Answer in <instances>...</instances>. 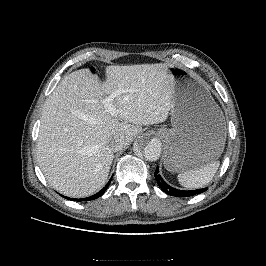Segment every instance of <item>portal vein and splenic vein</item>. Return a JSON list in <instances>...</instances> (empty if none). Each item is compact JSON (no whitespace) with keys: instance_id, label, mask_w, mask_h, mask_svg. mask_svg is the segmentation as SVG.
<instances>
[{"instance_id":"18ae733b","label":"portal vein and splenic vein","mask_w":266,"mask_h":266,"mask_svg":"<svg viewBox=\"0 0 266 266\" xmlns=\"http://www.w3.org/2000/svg\"><path fill=\"white\" fill-rule=\"evenodd\" d=\"M119 94V91L116 93H113L112 95L106 97L102 100V104L107 112H109L112 116H117L119 113V110L115 107L113 104V99Z\"/></svg>"}]
</instances>
